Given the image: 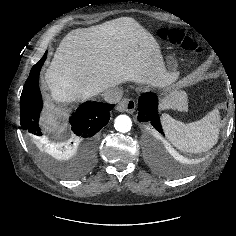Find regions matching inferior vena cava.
I'll return each instance as SVG.
<instances>
[{"label":"inferior vena cava","mask_w":236,"mask_h":236,"mask_svg":"<svg viewBox=\"0 0 236 236\" xmlns=\"http://www.w3.org/2000/svg\"><path fill=\"white\" fill-rule=\"evenodd\" d=\"M122 90L119 88H109L104 91L102 96L104 97V100L108 103H117L122 98Z\"/></svg>","instance_id":"1"}]
</instances>
